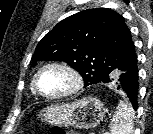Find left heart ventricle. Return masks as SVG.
Returning <instances> with one entry per match:
<instances>
[{"instance_id":"left-heart-ventricle-1","label":"left heart ventricle","mask_w":153,"mask_h":134,"mask_svg":"<svg viewBox=\"0 0 153 134\" xmlns=\"http://www.w3.org/2000/svg\"><path fill=\"white\" fill-rule=\"evenodd\" d=\"M71 78L62 70L47 69L38 78L40 91L46 94L60 93L71 86Z\"/></svg>"}]
</instances>
